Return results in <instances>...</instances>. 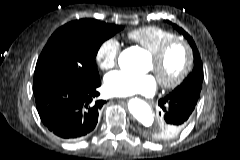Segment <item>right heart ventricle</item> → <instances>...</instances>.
<instances>
[{"label": "right heart ventricle", "mask_w": 240, "mask_h": 160, "mask_svg": "<svg viewBox=\"0 0 240 160\" xmlns=\"http://www.w3.org/2000/svg\"><path fill=\"white\" fill-rule=\"evenodd\" d=\"M128 38L152 54L176 35L165 28L145 26L129 32Z\"/></svg>", "instance_id": "e07e8e85"}]
</instances>
